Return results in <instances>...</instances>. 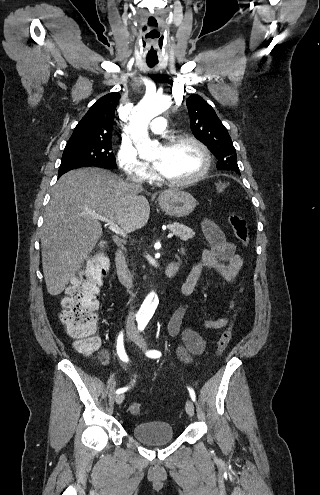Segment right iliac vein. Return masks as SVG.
<instances>
[{
	"label": "right iliac vein",
	"instance_id": "1",
	"mask_svg": "<svg viewBox=\"0 0 320 495\" xmlns=\"http://www.w3.org/2000/svg\"><path fill=\"white\" fill-rule=\"evenodd\" d=\"M129 339L131 341H134L135 340L134 335L133 334H129ZM124 398H125V396H124L123 393L117 394L115 396V402H116V404H121L123 402Z\"/></svg>",
	"mask_w": 320,
	"mask_h": 495
}]
</instances>
